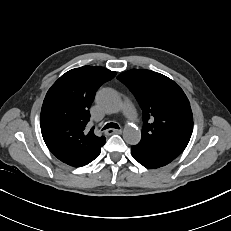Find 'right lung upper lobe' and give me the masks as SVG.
<instances>
[{"mask_svg": "<svg viewBox=\"0 0 231 231\" xmlns=\"http://www.w3.org/2000/svg\"><path fill=\"white\" fill-rule=\"evenodd\" d=\"M116 72L83 66L62 75L49 89L41 109V132L49 150L62 162L84 166L94 160L106 138L86 129L97 89Z\"/></svg>", "mask_w": 231, "mask_h": 231, "instance_id": "cb5924a9", "label": "right lung upper lobe"}]
</instances>
